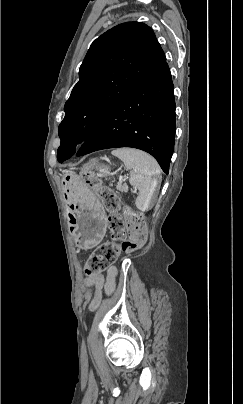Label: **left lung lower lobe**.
Wrapping results in <instances>:
<instances>
[{
	"instance_id": "0a47b994",
	"label": "left lung lower lobe",
	"mask_w": 243,
	"mask_h": 404,
	"mask_svg": "<svg viewBox=\"0 0 243 404\" xmlns=\"http://www.w3.org/2000/svg\"><path fill=\"white\" fill-rule=\"evenodd\" d=\"M175 129L174 86L165 62L106 112L75 155L137 148L150 153L168 174Z\"/></svg>"
}]
</instances>
